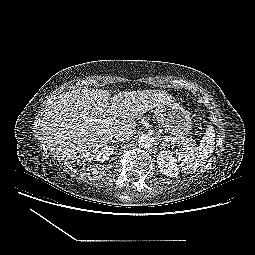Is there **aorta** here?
Masks as SVG:
<instances>
[{
	"label": "aorta",
	"instance_id": "1",
	"mask_svg": "<svg viewBox=\"0 0 255 255\" xmlns=\"http://www.w3.org/2000/svg\"><path fill=\"white\" fill-rule=\"evenodd\" d=\"M138 143L142 148H150L153 144V139L149 135L143 134L139 136Z\"/></svg>",
	"mask_w": 255,
	"mask_h": 255
}]
</instances>
